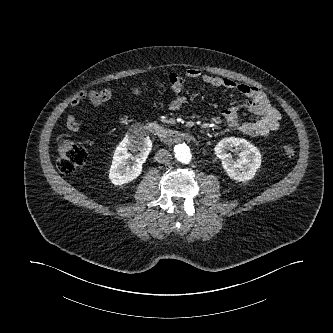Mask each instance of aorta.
Instances as JSON below:
<instances>
[{
    "instance_id": "1",
    "label": "aorta",
    "mask_w": 333,
    "mask_h": 333,
    "mask_svg": "<svg viewBox=\"0 0 333 333\" xmlns=\"http://www.w3.org/2000/svg\"><path fill=\"white\" fill-rule=\"evenodd\" d=\"M175 158L181 163H189L191 161L190 149L186 144H178L174 148Z\"/></svg>"
}]
</instances>
